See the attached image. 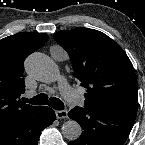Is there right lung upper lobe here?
Segmentation results:
<instances>
[{"label": "right lung upper lobe", "instance_id": "cb5924a9", "mask_svg": "<svg viewBox=\"0 0 145 145\" xmlns=\"http://www.w3.org/2000/svg\"><path fill=\"white\" fill-rule=\"evenodd\" d=\"M47 39L45 33L20 32L0 40V127L38 108L19 99L25 92L23 65Z\"/></svg>", "mask_w": 145, "mask_h": 145}]
</instances>
